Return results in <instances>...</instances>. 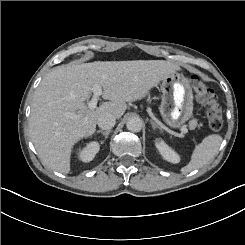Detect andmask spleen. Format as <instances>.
<instances>
[{
	"instance_id": "obj_1",
	"label": "spleen",
	"mask_w": 245,
	"mask_h": 245,
	"mask_svg": "<svg viewBox=\"0 0 245 245\" xmlns=\"http://www.w3.org/2000/svg\"><path fill=\"white\" fill-rule=\"evenodd\" d=\"M221 142L222 138L217 135L205 138L203 142L196 147L192 161L186 167L182 168V172L188 173L207 164L218 151Z\"/></svg>"
}]
</instances>
